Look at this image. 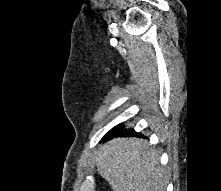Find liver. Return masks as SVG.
<instances>
[{"mask_svg": "<svg viewBox=\"0 0 221 191\" xmlns=\"http://www.w3.org/2000/svg\"><path fill=\"white\" fill-rule=\"evenodd\" d=\"M95 162L113 191H164L168 182L159 154L142 139L115 138Z\"/></svg>", "mask_w": 221, "mask_h": 191, "instance_id": "1", "label": "liver"}]
</instances>
